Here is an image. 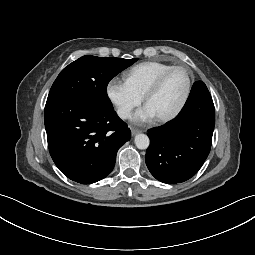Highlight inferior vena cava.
Wrapping results in <instances>:
<instances>
[{"mask_svg":"<svg viewBox=\"0 0 255 255\" xmlns=\"http://www.w3.org/2000/svg\"><path fill=\"white\" fill-rule=\"evenodd\" d=\"M118 114L123 119L129 118L131 116L130 111L127 109L119 110Z\"/></svg>","mask_w":255,"mask_h":255,"instance_id":"obj_1","label":"inferior vena cava"}]
</instances>
